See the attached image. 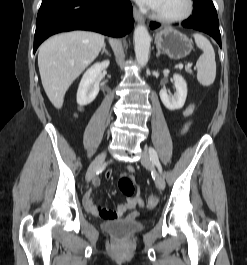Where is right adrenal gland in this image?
Instances as JSON below:
<instances>
[{"mask_svg": "<svg viewBox=\"0 0 247 265\" xmlns=\"http://www.w3.org/2000/svg\"><path fill=\"white\" fill-rule=\"evenodd\" d=\"M103 53H106V55L109 56V53H108V51H107V49H106V45H104V47H103V49H102L101 54H103Z\"/></svg>", "mask_w": 247, "mask_h": 265, "instance_id": "2a0ac1e0", "label": "right adrenal gland"}]
</instances>
